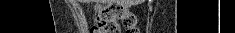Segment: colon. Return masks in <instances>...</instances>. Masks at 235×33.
<instances>
[{"instance_id":"obj_1","label":"colon","mask_w":235,"mask_h":33,"mask_svg":"<svg viewBox=\"0 0 235 33\" xmlns=\"http://www.w3.org/2000/svg\"><path fill=\"white\" fill-rule=\"evenodd\" d=\"M119 21L126 27V33L138 32L136 16L122 5L111 3L99 10L90 33H120Z\"/></svg>"}]
</instances>
